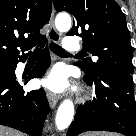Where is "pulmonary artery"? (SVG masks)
Returning <instances> with one entry per match:
<instances>
[{
	"mask_svg": "<svg viewBox=\"0 0 136 136\" xmlns=\"http://www.w3.org/2000/svg\"><path fill=\"white\" fill-rule=\"evenodd\" d=\"M63 47L69 52H75L80 50V44L76 38L67 37L64 40Z\"/></svg>",
	"mask_w": 136,
	"mask_h": 136,
	"instance_id": "1",
	"label": "pulmonary artery"
}]
</instances>
